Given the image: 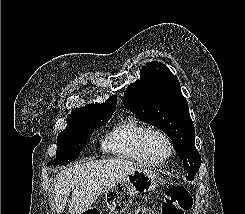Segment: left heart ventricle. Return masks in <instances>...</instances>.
I'll return each mask as SVG.
<instances>
[{
  "label": "left heart ventricle",
  "instance_id": "b2bd125f",
  "mask_svg": "<svg viewBox=\"0 0 245 214\" xmlns=\"http://www.w3.org/2000/svg\"><path fill=\"white\" fill-rule=\"evenodd\" d=\"M147 152L151 159L161 160L168 154L166 141L159 135H152L147 142Z\"/></svg>",
  "mask_w": 245,
  "mask_h": 214
}]
</instances>
